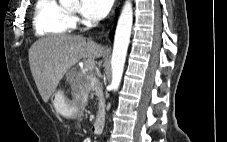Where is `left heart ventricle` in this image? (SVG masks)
Instances as JSON below:
<instances>
[{
  "mask_svg": "<svg viewBox=\"0 0 227 142\" xmlns=\"http://www.w3.org/2000/svg\"><path fill=\"white\" fill-rule=\"evenodd\" d=\"M77 9H78V5H75L74 7H72V8L70 9V11L75 12Z\"/></svg>",
  "mask_w": 227,
  "mask_h": 142,
  "instance_id": "1",
  "label": "left heart ventricle"
}]
</instances>
